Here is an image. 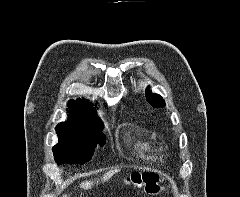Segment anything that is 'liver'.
Masks as SVG:
<instances>
[{"mask_svg":"<svg viewBox=\"0 0 240 197\" xmlns=\"http://www.w3.org/2000/svg\"><path fill=\"white\" fill-rule=\"evenodd\" d=\"M116 172H118V170H111L109 172H107L105 175H103L101 177V181L104 182L106 181L107 179H109L111 176H113ZM99 183V179H97V184ZM94 184V181L92 180H89V181H85V182H82L80 184V186L83 188V189H91L92 186Z\"/></svg>","mask_w":240,"mask_h":197,"instance_id":"obj_1","label":"liver"}]
</instances>
